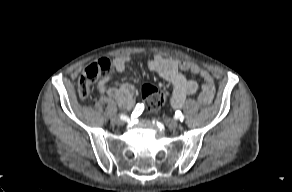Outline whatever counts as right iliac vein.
I'll return each mask as SVG.
<instances>
[{
    "label": "right iliac vein",
    "mask_w": 292,
    "mask_h": 192,
    "mask_svg": "<svg viewBox=\"0 0 292 192\" xmlns=\"http://www.w3.org/2000/svg\"><path fill=\"white\" fill-rule=\"evenodd\" d=\"M111 122L113 124H118V125L123 123V121L120 118L116 117V116L111 119Z\"/></svg>",
    "instance_id": "right-iliac-vein-1"
}]
</instances>
